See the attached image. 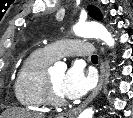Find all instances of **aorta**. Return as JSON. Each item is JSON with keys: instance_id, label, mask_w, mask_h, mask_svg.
<instances>
[{"instance_id": "762f6f07", "label": "aorta", "mask_w": 133, "mask_h": 118, "mask_svg": "<svg viewBox=\"0 0 133 118\" xmlns=\"http://www.w3.org/2000/svg\"><path fill=\"white\" fill-rule=\"evenodd\" d=\"M74 33L77 36L85 38H95L102 40L109 47H113L115 41L111 33L102 25L97 22H85L82 24H77L74 28ZM66 66L62 63H56L53 70L65 69ZM94 110L92 107L83 110L78 118H93Z\"/></svg>"}]
</instances>
